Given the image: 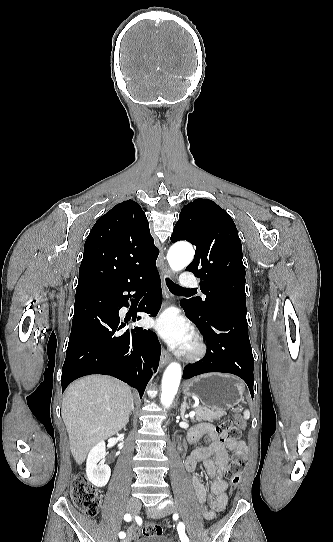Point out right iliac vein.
I'll return each instance as SVG.
<instances>
[{"label":"right iliac vein","mask_w":333,"mask_h":542,"mask_svg":"<svg viewBox=\"0 0 333 542\" xmlns=\"http://www.w3.org/2000/svg\"><path fill=\"white\" fill-rule=\"evenodd\" d=\"M139 508H140V501L137 498H131L128 501L127 510L131 514L136 515L138 513ZM132 538H133V528L129 527L126 538L122 540L121 542H130Z\"/></svg>","instance_id":"right-iliac-vein-1"}]
</instances>
